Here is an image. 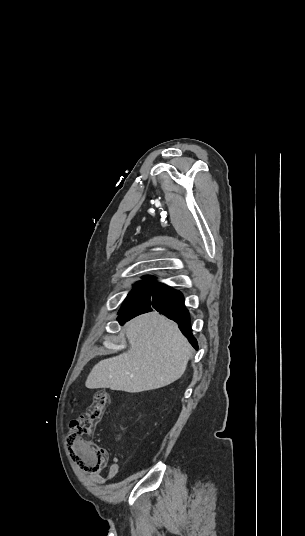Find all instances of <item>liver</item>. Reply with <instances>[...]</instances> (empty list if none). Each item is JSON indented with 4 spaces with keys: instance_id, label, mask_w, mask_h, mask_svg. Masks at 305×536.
Wrapping results in <instances>:
<instances>
[{
    "instance_id": "1",
    "label": "liver",
    "mask_w": 305,
    "mask_h": 536,
    "mask_svg": "<svg viewBox=\"0 0 305 536\" xmlns=\"http://www.w3.org/2000/svg\"><path fill=\"white\" fill-rule=\"evenodd\" d=\"M126 338L129 350L96 364L86 388L134 394L164 388L183 376L192 348L175 322L157 312L143 314L128 322Z\"/></svg>"
}]
</instances>
